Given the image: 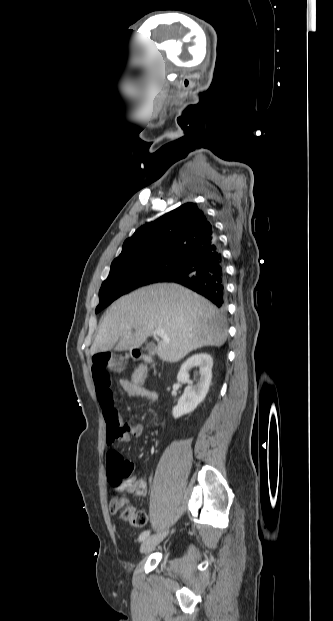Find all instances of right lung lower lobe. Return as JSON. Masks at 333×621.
I'll list each match as a JSON object with an SVG mask.
<instances>
[{"label": "right lung lower lobe", "mask_w": 333, "mask_h": 621, "mask_svg": "<svg viewBox=\"0 0 333 621\" xmlns=\"http://www.w3.org/2000/svg\"><path fill=\"white\" fill-rule=\"evenodd\" d=\"M160 282H174L186 286L209 299L217 307L224 308L226 275L217 239L184 257L180 268Z\"/></svg>", "instance_id": "1"}]
</instances>
